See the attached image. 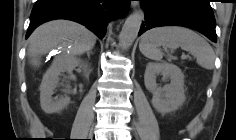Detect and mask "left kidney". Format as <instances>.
I'll use <instances>...</instances> for the list:
<instances>
[{
	"instance_id": "1",
	"label": "left kidney",
	"mask_w": 236,
	"mask_h": 140,
	"mask_svg": "<svg viewBox=\"0 0 236 140\" xmlns=\"http://www.w3.org/2000/svg\"><path fill=\"white\" fill-rule=\"evenodd\" d=\"M162 74L171 79L169 85L158 87L156 77ZM144 83L153 94L152 105L160 113L177 110L185 102L184 74L172 63H148L144 74Z\"/></svg>"
}]
</instances>
